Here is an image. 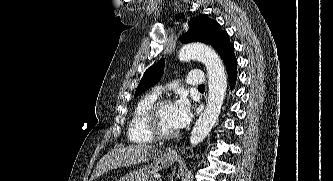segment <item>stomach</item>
Masks as SVG:
<instances>
[{
	"instance_id": "1",
	"label": "stomach",
	"mask_w": 333,
	"mask_h": 181,
	"mask_svg": "<svg viewBox=\"0 0 333 181\" xmlns=\"http://www.w3.org/2000/svg\"><path fill=\"white\" fill-rule=\"evenodd\" d=\"M176 158L174 154L157 150L153 152L150 164L131 170L118 181H151L153 174L172 165Z\"/></svg>"
}]
</instances>
